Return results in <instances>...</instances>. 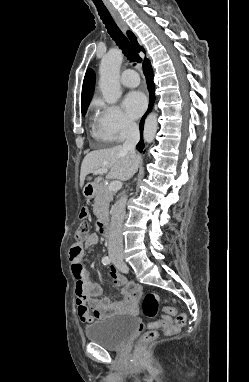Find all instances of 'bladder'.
Returning a JSON list of instances; mask_svg holds the SVG:
<instances>
[{"instance_id": "bladder-1", "label": "bladder", "mask_w": 249, "mask_h": 382, "mask_svg": "<svg viewBox=\"0 0 249 382\" xmlns=\"http://www.w3.org/2000/svg\"><path fill=\"white\" fill-rule=\"evenodd\" d=\"M139 325L132 315L110 316L98 319L84 328L88 341L99 344L107 350H119Z\"/></svg>"}]
</instances>
